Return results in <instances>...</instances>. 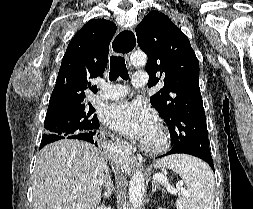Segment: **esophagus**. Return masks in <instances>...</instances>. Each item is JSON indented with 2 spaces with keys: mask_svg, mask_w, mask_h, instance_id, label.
<instances>
[{
  "mask_svg": "<svg viewBox=\"0 0 253 209\" xmlns=\"http://www.w3.org/2000/svg\"><path fill=\"white\" fill-rule=\"evenodd\" d=\"M117 46H120L122 50L121 52L124 53L125 58L128 61L130 54L135 50L137 46L135 31L132 28H123L120 32H118L112 43V47L114 49H116ZM116 142L118 145L130 152V158L133 162H135L136 157L128 143L120 138H117Z\"/></svg>",
  "mask_w": 253,
  "mask_h": 209,
  "instance_id": "1",
  "label": "esophagus"
}]
</instances>
